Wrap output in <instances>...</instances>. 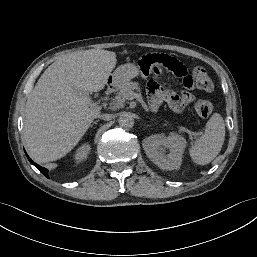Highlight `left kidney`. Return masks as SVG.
Wrapping results in <instances>:
<instances>
[{
  "instance_id": "5707ae66",
  "label": "left kidney",
  "mask_w": 257,
  "mask_h": 257,
  "mask_svg": "<svg viewBox=\"0 0 257 257\" xmlns=\"http://www.w3.org/2000/svg\"><path fill=\"white\" fill-rule=\"evenodd\" d=\"M142 145L147 157L159 168L163 170L180 168L186 147V140L181 135L176 133H170L168 137L151 135L143 140Z\"/></svg>"
}]
</instances>
